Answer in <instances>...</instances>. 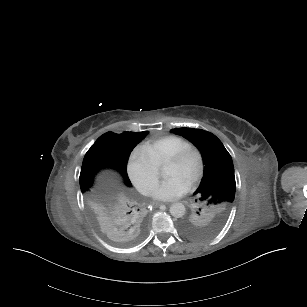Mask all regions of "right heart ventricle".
<instances>
[{"mask_svg":"<svg viewBox=\"0 0 307 307\" xmlns=\"http://www.w3.org/2000/svg\"><path fill=\"white\" fill-rule=\"evenodd\" d=\"M190 143H192V140L188 137L174 134L166 135L163 138L162 145L157 152V156L160 159H166L169 155L179 151Z\"/></svg>","mask_w":307,"mask_h":307,"instance_id":"1","label":"right heart ventricle"}]
</instances>
